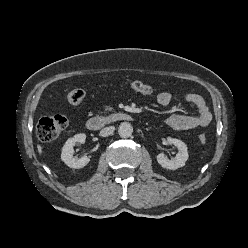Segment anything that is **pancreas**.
Listing matches in <instances>:
<instances>
[{"label":"pancreas","mask_w":248,"mask_h":248,"mask_svg":"<svg viewBox=\"0 0 248 248\" xmlns=\"http://www.w3.org/2000/svg\"><path fill=\"white\" fill-rule=\"evenodd\" d=\"M111 110H112V108L108 106V107L105 108V113H108Z\"/></svg>","instance_id":"obj_1"}]
</instances>
